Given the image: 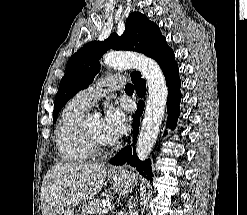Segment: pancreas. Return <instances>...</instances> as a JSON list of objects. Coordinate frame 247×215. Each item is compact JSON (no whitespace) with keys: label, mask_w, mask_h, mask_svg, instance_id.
<instances>
[{"label":"pancreas","mask_w":247,"mask_h":215,"mask_svg":"<svg viewBox=\"0 0 247 215\" xmlns=\"http://www.w3.org/2000/svg\"><path fill=\"white\" fill-rule=\"evenodd\" d=\"M103 202L101 200H93L88 204L82 206L81 213L82 215H95V214H103L110 210V208L103 206Z\"/></svg>","instance_id":"1"}]
</instances>
